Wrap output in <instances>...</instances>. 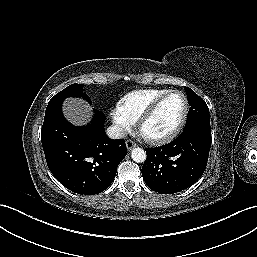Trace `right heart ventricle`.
Wrapping results in <instances>:
<instances>
[{
  "instance_id": "obj_1",
  "label": "right heart ventricle",
  "mask_w": 257,
  "mask_h": 257,
  "mask_svg": "<svg viewBox=\"0 0 257 257\" xmlns=\"http://www.w3.org/2000/svg\"><path fill=\"white\" fill-rule=\"evenodd\" d=\"M169 89H142L132 91L122 97L119 106L134 121H138L143 112Z\"/></svg>"
}]
</instances>
